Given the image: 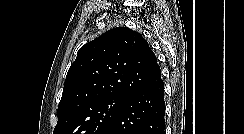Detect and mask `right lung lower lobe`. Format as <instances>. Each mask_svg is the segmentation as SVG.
<instances>
[{
    "label": "right lung lower lobe",
    "instance_id": "1",
    "mask_svg": "<svg viewBox=\"0 0 244 134\" xmlns=\"http://www.w3.org/2000/svg\"><path fill=\"white\" fill-rule=\"evenodd\" d=\"M164 83L131 96L101 134H164Z\"/></svg>",
    "mask_w": 244,
    "mask_h": 134
}]
</instances>
